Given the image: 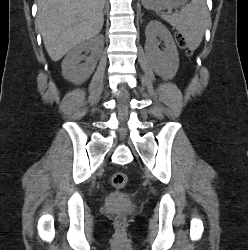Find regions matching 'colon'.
Returning <instances> with one entry per match:
<instances>
[{"label": "colon", "mask_w": 248, "mask_h": 250, "mask_svg": "<svg viewBox=\"0 0 248 250\" xmlns=\"http://www.w3.org/2000/svg\"><path fill=\"white\" fill-rule=\"evenodd\" d=\"M176 40H177L178 45L181 48H187L185 39L180 34L176 35ZM127 181H128L127 175L123 172H116L111 176V184L113 185V187L117 189H121L125 187L127 184ZM124 222H125V218L123 215L117 216L116 223L118 225H122Z\"/></svg>", "instance_id": "colon-1"}]
</instances>
